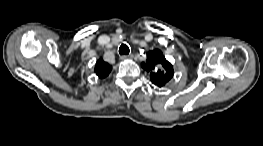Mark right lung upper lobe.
<instances>
[{
	"mask_svg": "<svg viewBox=\"0 0 263 146\" xmlns=\"http://www.w3.org/2000/svg\"><path fill=\"white\" fill-rule=\"evenodd\" d=\"M111 70H112V66L104 62L102 58H100L96 62L95 73L100 79H103L106 76H108Z\"/></svg>",
	"mask_w": 263,
	"mask_h": 146,
	"instance_id": "cb5924a9",
	"label": "right lung upper lobe"
}]
</instances>
